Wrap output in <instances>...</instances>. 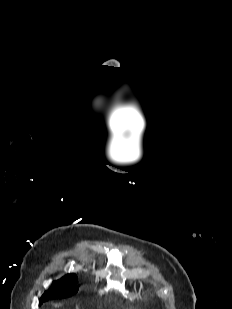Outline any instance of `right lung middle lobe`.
I'll return each instance as SVG.
<instances>
[{
	"label": "right lung middle lobe",
	"instance_id": "dd1d6c3e",
	"mask_svg": "<svg viewBox=\"0 0 232 309\" xmlns=\"http://www.w3.org/2000/svg\"><path fill=\"white\" fill-rule=\"evenodd\" d=\"M77 292L75 283H65L61 286L52 285V287L46 291L40 298V304L46 300L53 299L57 296H71Z\"/></svg>",
	"mask_w": 232,
	"mask_h": 309
}]
</instances>
